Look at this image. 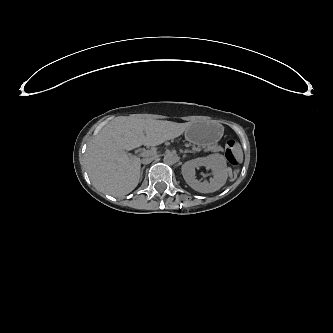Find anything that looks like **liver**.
Segmentation results:
<instances>
[{"mask_svg":"<svg viewBox=\"0 0 333 333\" xmlns=\"http://www.w3.org/2000/svg\"><path fill=\"white\" fill-rule=\"evenodd\" d=\"M176 136L177 133L130 137L100 134L90 142L86 151L88 174L94 185L102 191L111 194L130 192L139 183L141 160L128 151L142 145L156 146Z\"/></svg>","mask_w":333,"mask_h":333,"instance_id":"1","label":"liver"}]
</instances>
